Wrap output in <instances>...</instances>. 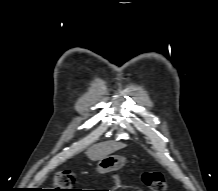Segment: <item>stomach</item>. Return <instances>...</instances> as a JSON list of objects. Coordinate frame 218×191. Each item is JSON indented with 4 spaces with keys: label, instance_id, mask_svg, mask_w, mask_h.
<instances>
[{
    "label": "stomach",
    "instance_id": "stomach-1",
    "mask_svg": "<svg viewBox=\"0 0 218 191\" xmlns=\"http://www.w3.org/2000/svg\"><path fill=\"white\" fill-rule=\"evenodd\" d=\"M126 163V159L117 155H110L101 160L97 164V171L99 173H108L119 170Z\"/></svg>",
    "mask_w": 218,
    "mask_h": 191
}]
</instances>
